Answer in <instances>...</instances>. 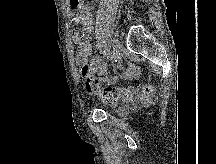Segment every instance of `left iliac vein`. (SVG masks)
<instances>
[{"mask_svg":"<svg viewBox=\"0 0 216 164\" xmlns=\"http://www.w3.org/2000/svg\"><path fill=\"white\" fill-rule=\"evenodd\" d=\"M120 47L121 45H120L119 40L117 38H114L111 43V48L115 53H117L118 57L120 53Z\"/></svg>","mask_w":216,"mask_h":164,"instance_id":"left-iliac-vein-1","label":"left iliac vein"}]
</instances>
